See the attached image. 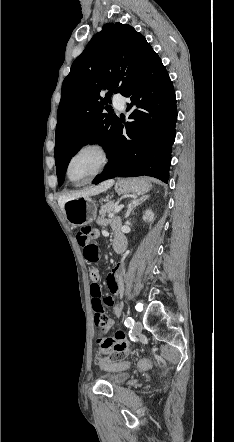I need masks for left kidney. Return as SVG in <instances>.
<instances>
[{
  "instance_id": "5707ae66",
  "label": "left kidney",
  "mask_w": 234,
  "mask_h": 442,
  "mask_svg": "<svg viewBox=\"0 0 234 442\" xmlns=\"http://www.w3.org/2000/svg\"><path fill=\"white\" fill-rule=\"evenodd\" d=\"M153 218H154V214L150 210H147L145 212V215L143 216V220H145V221H150L151 222V221H153Z\"/></svg>"
}]
</instances>
